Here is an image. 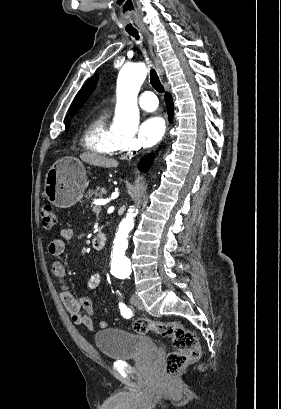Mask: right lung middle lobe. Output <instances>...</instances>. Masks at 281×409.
<instances>
[{
	"mask_svg": "<svg viewBox=\"0 0 281 409\" xmlns=\"http://www.w3.org/2000/svg\"><path fill=\"white\" fill-rule=\"evenodd\" d=\"M69 128V125H66V130Z\"/></svg>",
	"mask_w": 281,
	"mask_h": 409,
	"instance_id": "right-lung-middle-lobe-1",
	"label": "right lung middle lobe"
}]
</instances>
